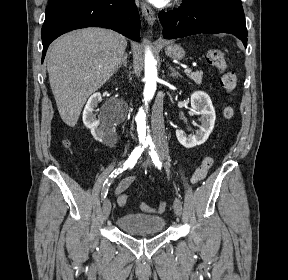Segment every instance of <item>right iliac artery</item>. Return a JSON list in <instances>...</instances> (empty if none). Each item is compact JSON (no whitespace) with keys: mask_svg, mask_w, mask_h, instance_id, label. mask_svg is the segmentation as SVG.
Wrapping results in <instances>:
<instances>
[{"mask_svg":"<svg viewBox=\"0 0 288 280\" xmlns=\"http://www.w3.org/2000/svg\"><path fill=\"white\" fill-rule=\"evenodd\" d=\"M144 150V146H139L136 147L133 152L131 153V155L129 156V158L126 160V162L123 164L122 167L115 169L111 175L109 176L110 178L107 179L104 184H103V188H102V192H101V198L102 200H104L108 194L109 191V186L113 180V178H115L119 173H122L125 168H131V164H136L138 158L140 157L142 151Z\"/></svg>","mask_w":288,"mask_h":280,"instance_id":"right-iliac-artery-1","label":"right iliac artery"}]
</instances>
